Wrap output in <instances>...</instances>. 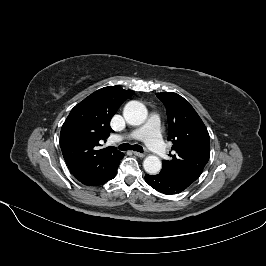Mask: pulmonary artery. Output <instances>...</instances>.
Here are the masks:
<instances>
[{
	"label": "pulmonary artery",
	"mask_w": 266,
	"mask_h": 266,
	"mask_svg": "<svg viewBox=\"0 0 266 266\" xmlns=\"http://www.w3.org/2000/svg\"><path fill=\"white\" fill-rule=\"evenodd\" d=\"M128 139H142L157 156L166 155L164 143L160 134V122L156 115H152L141 127L134 129L127 135Z\"/></svg>",
	"instance_id": "e3ab8cb5"
}]
</instances>
